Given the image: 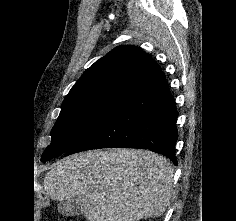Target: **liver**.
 Here are the masks:
<instances>
[{
  "mask_svg": "<svg viewBox=\"0 0 236 221\" xmlns=\"http://www.w3.org/2000/svg\"><path fill=\"white\" fill-rule=\"evenodd\" d=\"M174 170L148 150H92L54 164L44 189L57 201L79 198L88 221H139L164 213L172 198Z\"/></svg>",
  "mask_w": 236,
  "mask_h": 221,
  "instance_id": "liver-1",
  "label": "liver"
}]
</instances>
